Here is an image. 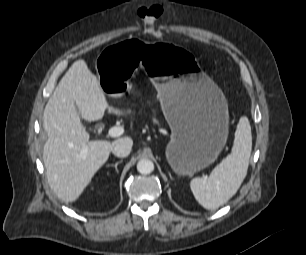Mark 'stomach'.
<instances>
[{
	"label": "stomach",
	"instance_id": "1",
	"mask_svg": "<svg viewBox=\"0 0 306 255\" xmlns=\"http://www.w3.org/2000/svg\"><path fill=\"white\" fill-rule=\"evenodd\" d=\"M96 65L99 86L110 97L124 95L137 66L147 67L172 131L166 158L177 174L191 176L215 161L228 136L227 102L183 48L133 38L105 48Z\"/></svg>",
	"mask_w": 306,
	"mask_h": 255
}]
</instances>
